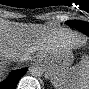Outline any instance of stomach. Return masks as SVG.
Instances as JSON below:
<instances>
[{"instance_id":"stomach-1","label":"stomach","mask_w":89,"mask_h":89,"mask_svg":"<svg viewBox=\"0 0 89 89\" xmlns=\"http://www.w3.org/2000/svg\"><path fill=\"white\" fill-rule=\"evenodd\" d=\"M37 57L46 64L48 74L57 72L61 68L69 67L74 60L72 51L61 47L54 53L48 52Z\"/></svg>"}]
</instances>
